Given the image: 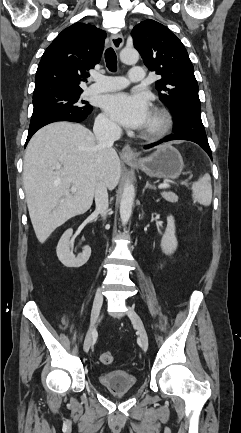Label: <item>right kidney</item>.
Returning a JSON list of instances; mask_svg holds the SVG:
<instances>
[{"mask_svg": "<svg viewBox=\"0 0 241 433\" xmlns=\"http://www.w3.org/2000/svg\"><path fill=\"white\" fill-rule=\"evenodd\" d=\"M72 234V229H68L64 232L58 242L56 253L58 259L64 266L68 268H78L83 266L88 261L91 255V248L89 246H85L82 253L75 257L69 248V245L72 242Z\"/></svg>", "mask_w": 241, "mask_h": 433, "instance_id": "right-kidney-1", "label": "right kidney"}]
</instances>
